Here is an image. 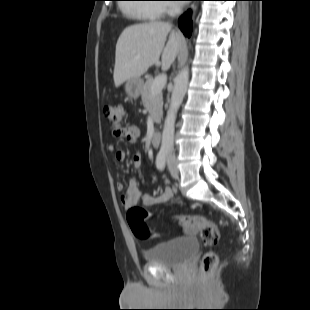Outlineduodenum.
<instances>
[{"mask_svg":"<svg viewBox=\"0 0 310 310\" xmlns=\"http://www.w3.org/2000/svg\"><path fill=\"white\" fill-rule=\"evenodd\" d=\"M151 144L153 147L157 148L160 146V143H161V138H162V133L161 131H154L151 133Z\"/></svg>","mask_w":310,"mask_h":310,"instance_id":"1","label":"duodenum"}]
</instances>
